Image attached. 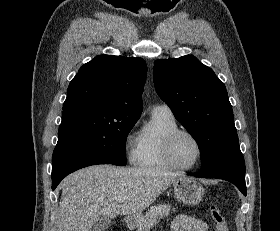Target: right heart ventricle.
Returning <instances> with one entry per match:
<instances>
[{
	"label": "right heart ventricle",
	"instance_id": "obj_1",
	"mask_svg": "<svg viewBox=\"0 0 280 231\" xmlns=\"http://www.w3.org/2000/svg\"><path fill=\"white\" fill-rule=\"evenodd\" d=\"M176 128L179 124L172 113L153 110L149 123L143 126L139 136L136 164L149 169H174L163 155V140Z\"/></svg>",
	"mask_w": 280,
	"mask_h": 231
}]
</instances>
